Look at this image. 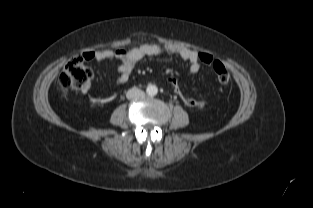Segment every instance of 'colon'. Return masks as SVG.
<instances>
[{
    "mask_svg": "<svg viewBox=\"0 0 313 208\" xmlns=\"http://www.w3.org/2000/svg\"><path fill=\"white\" fill-rule=\"evenodd\" d=\"M199 59L202 63L212 66L218 82L221 85H227L230 82V75L221 61L205 52L199 53ZM86 60L87 59L84 55H80L67 63L59 77V86L63 93H67L69 90L83 89L89 85L93 77V73L92 70L86 66ZM170 82L174 88V92L183 104L188 107L198 109L204 106L203 101L190 97L175 79H170Z\"/></svg>",
    "mask_w": 313,
    "mask_h": 208,
    "instance_id": "5ec220e1",
    "label": "colon"
}]
</instances>
